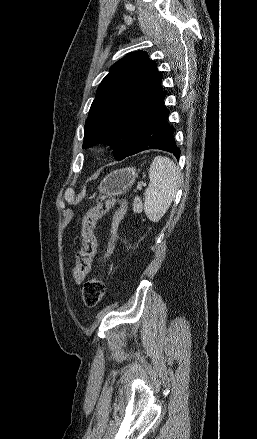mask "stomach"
<instances>
[{
    "instance_id": "1",
    "label": "stomach",
    "mask_w": 257,
    "mask_h": 439,
    "mask_svg": "<svg viewBox=\"0 0 257 439\" xmlns=\"http://www.w3.org/2000/svg\"><path fill=\"white\" fill-rule=\"evenodd\" d=\"M138 174L135 168L127 167L109 173L100 183L98 190L108 196H120L127 193Z\"/></svg>"
}]
</instances>
